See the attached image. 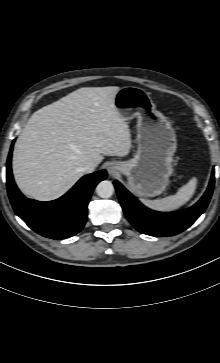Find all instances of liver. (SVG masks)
I'll list each match as a JSON object with an SVG mask.
<instances>
[{
  "mask_svg": "<svg viewBox=\"0 0 220 363\" xmlns=\"http://www.w3.org/2000/svg\"><path fill=\"white\" fill-rule=\"evenodd\" d=\"M119 90L80 88L32 114L12 159L14 179L26 196L57 199L84 175L86 162L97 166L103 155H128L130 129L114 105Z\"/></svg>",
  "mask_w": 220,
  "mask_h": 363,
  "instance_id": "6515ba94",
  "label": "liver"
}]
</instances>
